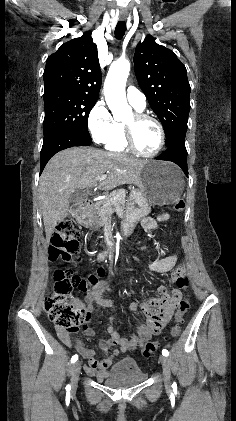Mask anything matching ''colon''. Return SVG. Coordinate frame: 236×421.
Wrapping results in <instances>:
<instances>
[{
	"label": "colon",
	"mask_w": 236,
	"mask_h": 421,
	"mask_svg": "<svg viewBox=\"0 0 236 421\" xmlns=\"http://www.w3.org/2000/svg\"><path fill=\"white\" fill-rule=\"evenodd\" d=\"M175 210L182 211L185 208L184 201H178L174 205ZM79 251L78 232L70 220H64L58 224L51 239L49 248V259L56 261L62 259L69 262ZM106 272L98 268L85 277L75 273L72 268L57 269L54 273V285L52 291L45 298L44 308L49 319L55 327L63 332L71 334L78 333L85 328L90 319V312L84 305H79L68 300V296L74 291L87 292L101 284ZM177 286L179 289H187L189 286L188 277L178 273ZM178 308L175 315L176 324L172 331L177 336L181 331L184 322V315L188 312L190 303L187 298L177 297ZM81 352H86L82 346H78ZM160 348L159 342H148L142 349L145 358L152 356Z\"/></svg>",
	"instance_id": "obj_1"
}]
</instances>
